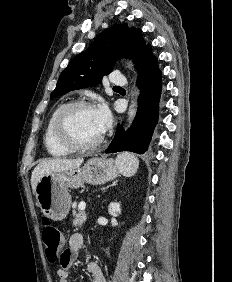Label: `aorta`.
I'll list each match as a JSON object with an SVG mask.
<instances>
[{
    "label": "aorta",
    "mask_w": 232,
    "mask_h": 282,
    "mask_svg": "<svg viewBox=\"0 0 232 282\" xmlns=\"http://www.w3.org/2000/svg\"><path fill=\"white\" fill-rule=\"evenodd\" d=\"M136 107H137V104H136V101H132V104L129 108V112H128V116H129V121H132L135 114H136Z\"/></svg>",
    "instance_id": "aorta-1"
}]
</instances>
